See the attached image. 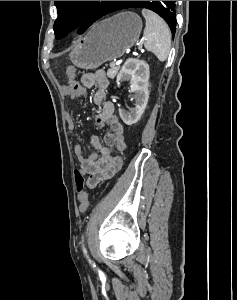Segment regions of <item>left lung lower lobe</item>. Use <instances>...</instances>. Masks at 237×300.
<instances>
[{
    "label": "left lung lower lobe",
    "mask_w": 237,
    "mask_h": 300,
    "mask_svg": "<svg viewBox=\"0 0 237 300\" xmlns=\"http://www.w3.org/2000/svg\"><path fill=\"white\" fill-rule=\"evenodd\" d=\"M166 2L167 1H161L162 4H165ZM122 4H123L122 1H113L107 9V14L117 10H121L119 8Z\"/></svg>",
    "instance_id": "obj_1"
}]
</instances>
